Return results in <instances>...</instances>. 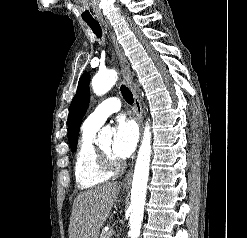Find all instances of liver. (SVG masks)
Segmentation results:
<instances>
[{
	"label": "liver",
	"instance_id": "obj_1",
	"mask_svg": "<svg viewBox=\"0 0 247 238\" xmlns=\"http://www.w3.org/2000/svg\"><path fill=\"white\" fill-rule=\"evenodd\" d=\"M120 191L116 182L80 193L73 203L69 238H98Z\"/></svg>",
	"mask_w": 247,
	"mask_h": 238
}]
</instances>
